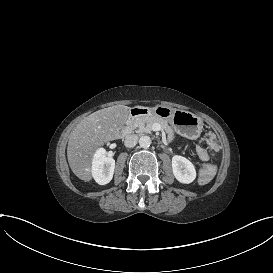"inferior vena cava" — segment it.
Here are the masks:
<instances>
[{"instance_id": "obj_1", "label": "inferior vena cava", "mask_w": 273, "mask_h": 273, "mask_svg": "<svg viewBox=\"0 0 273 273\" xmlns=\"http://www.w3.org/2000/svg\"><path fill=\"white\" fill-rule=\"evenodd\" d=\"M138 142V136L136 134L127 135L124 141L126 147L132 148Z\"/></svg>"}]
</instances>
